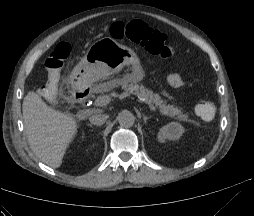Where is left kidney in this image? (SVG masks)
<instances>
[{
	"label": "left kidney",
	"mask_w": 254,
	"mask_h": 216,
	"mask_svg": "<svg viewBox=\"0 0 254 216\" xmlns=\"http://www.w3.org/2000/svg\"><path fill=\"white\" fill-rule=\"evenodd\" d=\"M183 132V126L177 122H171L160 129L158 140L160 142H165L166 139L177 140L182 136Z\"/></svg>",
	"instance_id": "obj_1"
}]
</instances>
